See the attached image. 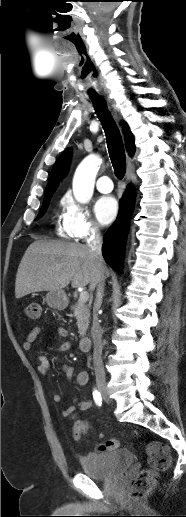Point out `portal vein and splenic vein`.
<instances>
[{
  "mask_svg": "<svg viewBox=\"0 0 186 517\" xmlns=\"http://www.w3.org/2000/svg\"><path fill=\"white\" fill-rule=\"evenodd\" d=\"M88 299H89V294H88V292H87V291H82V292L80 293V296H79V302H83V303H85V302H87V301H88Z\"/></svg>",
  "mask_w": 186,
  "mask_h": 517,
  "instance_id": "18ae733b",
  "label": "portal vein and splenic vein"
}]
</instances>
